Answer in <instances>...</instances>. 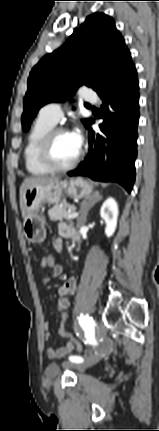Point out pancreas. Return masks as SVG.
I'll use <instances>...</instances> for the list:
<instances>
[{
    "instance_id": "pancreas-1",
    "label": "pancreas",
    "mask_w": 159,
    "mask_h": 431,
    "mask_svg": "<svg viewBox=\"0 0 159 431\" xmlns=\"http://www.w3.org/2000/svg\"><path fill=\"white\" fill-rule=\"evenodd\" d=\"M67 209H70L72 212L76 210V207L74 205H70L66 202H63L61 204H56L48 211V216L53 221H62L67 218L68 211Z\"/></svg>"
}]
</instances>
